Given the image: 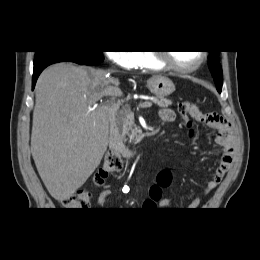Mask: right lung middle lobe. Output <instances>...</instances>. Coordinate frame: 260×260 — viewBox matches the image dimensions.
<instances>
[{
    "mask_svg": "<svg viewBox=\"0 0 260 260\" xmlns=\"http://www.w3.org/2000/svg\"><path fill=\"white\" fill-rule=\"evenodd\" d=\"M48 52H40L36 51L34 62L40 60L43 56H45Z\"/></svg>",
    "mask_w": 260,
    "mask_h": 260,
    "instance_id": "1",
    "label": "right lung middle lobe"
}]
</instances>
